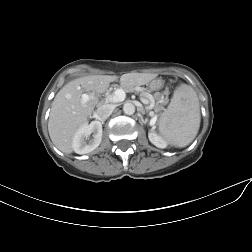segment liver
<instances>
[{
	"mask_svg": "<svg viewBox=\"0 0 252 252\" xmlns=\"http://www.w3.org/2000/svg\"><path fill=\"white\" fill-rule=\"evenodd\" d=\"M154 78L153 74L127 73L120 76V85L124 89L147 84ZM118 76L90 75L74 79L65 84L56 94L48 120V131L54 145L62 152L73 151L72 141L78 129L87 123L95 106L96 98L82 102L85 92L103 93L110 82Z\"/></svg>",
	"mask_w": 252,
	"mask_h": 252,
	"instance_id": "1",
	"label": "liver"
}]
</instances>
